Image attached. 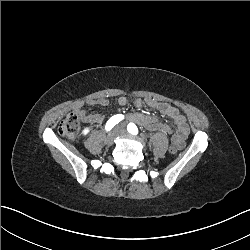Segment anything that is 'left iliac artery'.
Here are the masks:
<instances>
[{"label": "left iliac artery", "mask_w": 250, "mask_h": 250, "mask_svg": "<svg viewBox=\"0 0 250 250\" xmlns=\"http://www.w3.org/2000/svg\"><path fill=\"white\" fill-rule=\"evenodd\" d=\"M127 130L129 133L133 134V135H137L138 134V128L134 123H129L127 126Z\"/></svg>", "instance_id": "44dca946"}]
</instances>
